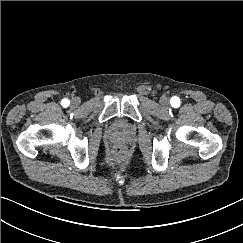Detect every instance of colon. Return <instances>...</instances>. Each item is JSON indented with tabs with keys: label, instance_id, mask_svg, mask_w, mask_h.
<instances>
[{
	"label": "colon",
	"instance_id": "1",
	"mask_svg": "<svg viewBox=\"0 0 243 243\" xmlns=\"http://www.w3.org/2000/svg\"><path fill=\"white\" fill-rule=\"evenodd\" d=\"M111 155L113 160L120 161L123 158L124 151L120 146H115L111 151Z\"/></svg>",
	"mask_w": 243,
	"mask_h": 243
}]
</instances>
